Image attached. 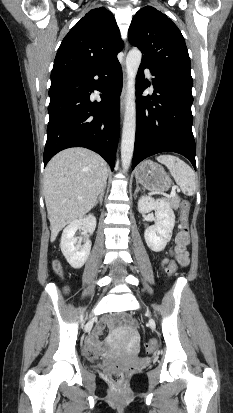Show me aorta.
I'll use <instances>...</instances> for the list:
<instances>
[{"label": "aorta", "instance_id": "aorta-1", "mask_svg": "<svg viewBox=\"0 0 233 413\" xmlns=\"http://www.w3.org/2000/svg\"><path fill=\"white\" fill-rule=\"evenodd\" d=\"M141 59L142 53L137 48L130 50L126 57L127 87L121 141V162L124 171H127L130 167L134 150L136 131L135 84Z\"/></svg>", "mask_w": 233, "mask_h": 413}]
</instances>
